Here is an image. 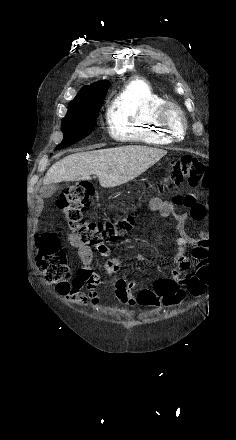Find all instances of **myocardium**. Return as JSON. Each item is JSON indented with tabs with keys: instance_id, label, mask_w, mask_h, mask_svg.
I'll list each match as a JSON object with an SVG mask.
<instances>
[{
	"instance_id": "1",
	"label": "myocardium",
	"mask_w": 236,
	"mask_h": 440,
	"mask_svg": "<svg viewBox=\"0 0 236 440\" xmlns=\"http://www.w3.org/2000/svg\"><path fill=\"white\" fill-rule=\"evenodd\" d=\"M173 114L179 117V130H176L172 124L171 116ZM157 121L162 131L172 141H180L183 139L187 129V117L178 104L171 101H165L157 112Z\"/></svg>"
}]
</instances>
